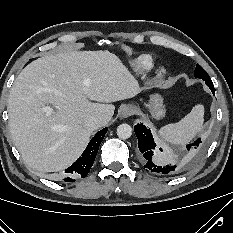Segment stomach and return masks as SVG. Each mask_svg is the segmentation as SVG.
I'll return each mask as SVG.
<instances>
[{
  "label": "stomach",
  "instance_id": "obj_1",
  "mask_svg": "<svg viewBox=\"0 0 233 233\" xmlns=\"http://www.w3.org/2000/svg\"><path fill=\"white\" fill-rule=\"evenodd\" d=\"M147 107L150 109L152 116L156 119L162 118L165 115L166 110L163 103V97L159 93L150 96V101Z\"/></svg>",
  "mask_w": 233,
  "mask_h": 233
}]
</instances>
